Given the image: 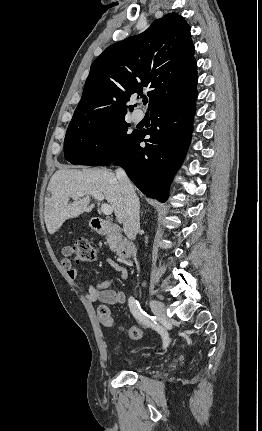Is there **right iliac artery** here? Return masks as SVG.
<instances>
[{
	"label": "right iliac artery",
	"instance_id": "82829eb1",
	"mask_svg": "<svg viewBox=\"0 0 262 431\" xmlns=\"http://www.w3.org/2000/svg\"><path fill=\"white\" fill-rule=\"evenodd\" d=\"M128 305L130 308L131 313L136 318V320L141 323L142 325L152 327L154 329H157V322L156 317L150 316L145 311H143L140 307V304L137 300H135L133 297L129 298ZM160 335L162 336L164 348L167 347L169 341L165 337V331L163 329L158 330Z\"/></svg>",
	"mask_w": 262,
	"mask_h": 431
}]
</instances>
